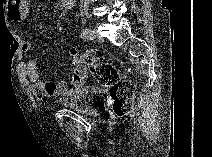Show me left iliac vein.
<instances>
[{"instance_id":"left-iliac-vein-1","label":"left iliac vein","mask_w":212,"mask_h":157,"mask_svg":"<svg viewBox=\"0 0 212 157\" xmlns=\"http://www.w3.org/2000/svg\"><path fill=\"white\" fill-rule=\"evenodd\" d=\"M93 37L95 38V39H97L98 41H103V38H102V36L97 32V30L96 29H94L93 30Z\"/></svg>"}]
</instances>
